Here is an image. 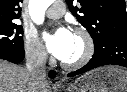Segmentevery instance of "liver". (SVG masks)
Returning a JSON list of instances; mask_svg holds the SVG:
<instances>
[{
  "mask_svg": "<svg viewBox=\"0 0 127 92\" xmlns=\"http://www.w3.org/2000/svg\"><path fill=\"white\" fill-rule=\"evenodd\" d=\"M0 92H52L26 69L0 59Z\"/></svg>",
  "mask_w": 127,
  "mask_h": 92,
  "instance_id": "obj_1",
  "label": "liver"
}]
</instances>
